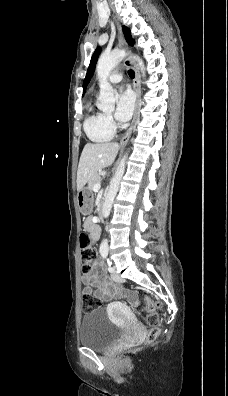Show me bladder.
<instances>
[{"label": "bladder", "mask_w": 228, "mask_h": 396, "mask_svg": "<svg viewBox=\"0 0 228 396\" xmlns=\"http://www.w3.org/2000/svg\"><path fill=\"white\" fill-rule=\"evenodd\" d=\"M121 329L113 324L103 309H96L84 315L79 329V343L97 351L107 350L119 340Z\"/></svg>", "instance_id": "31cf9c89"}]
</instances>
